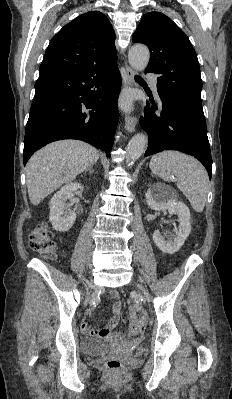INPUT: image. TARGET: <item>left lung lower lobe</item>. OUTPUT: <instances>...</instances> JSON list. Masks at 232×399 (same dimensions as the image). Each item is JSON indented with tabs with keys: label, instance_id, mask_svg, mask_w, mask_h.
<instances>
[{
	"label": "left lung lower lobe",
	"instance_id": "0a47b994",
	"mask_svg": "<svg viewBox=\"0 0 232 399\" xmlns=\"http://www.w3.org/2000/svg\"><path fill=\"white\" fill-rule=\"evenodd\" d=\"M158 101L149 96L141 127L148 134L145 156L164 150H177L197 158L212 176V158L206 121L195 116L174 98L160 93Z\"/></svg>",
	"mask_w": 232,
	"mask_h": 399
}]
</instances>
